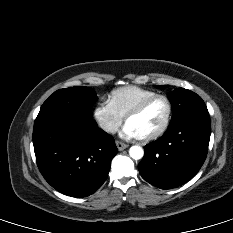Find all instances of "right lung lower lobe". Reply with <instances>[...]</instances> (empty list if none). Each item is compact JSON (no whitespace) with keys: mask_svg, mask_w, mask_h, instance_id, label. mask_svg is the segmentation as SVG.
<instances>
[{"mask_svg":"<svg viewBox=\"0 0 233 233\" xmlns=\"http://www.w3.org/2000/svg\"><path fill=\"white\" fill-rule=\"evenodd\" d=\"M33 144L45 180L72 197H86L98 190L117 153L114 139L92 117L71 111L38 115Z\"/></svg>","mask_w":233,"mask_h":233,"instance_id":"98d812e1","label":"right lung lower lobe"}]
</instances>
